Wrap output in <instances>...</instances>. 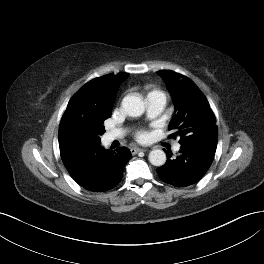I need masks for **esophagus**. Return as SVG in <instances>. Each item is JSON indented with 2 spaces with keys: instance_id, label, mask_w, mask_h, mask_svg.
I'll return each mask as SVG.
<instances>
[{
  "instance_id": "1",
  "label": "esophagus",
  "mask_w": 264,
  "mask_h": 264,
  "mask_svg": "<svg viewBox=\"0 0 264 264\" xmlns=\"http://www.w3.org/2000/svg\"><path fill=\"white\" fill-rule=\"evenodd\" d=\"M130 151H131V153H132L133 155H135V154H137L138 152H145L146 149L131 148Z\"/></svg>"
}]
</instances>
